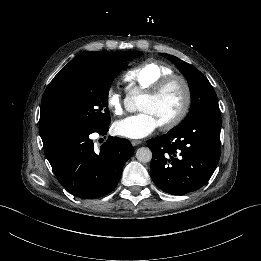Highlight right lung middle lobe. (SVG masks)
Wrapping results in <instances>:
<instances>
[{
	"instance_id": "dd1d6c3e",
	"label": "right lung middle lobe",
	"mask_w": 261,
	"mask_h": 261,
	"mask_svg": "<svg viewBox=\"0 0 261 261\" xmlns=\"http://www.w3.org/2000/svg\"><path fill=\"white\" fill-rule=\"evenodd\" d=\"M142 55L127 52L119 63H86L74 68L63 80L61 91L69 118V131L95 132L108 126V92L124 61ZM44 147L56 137L40 132Z\"/></svg>"
}]
</instances>
